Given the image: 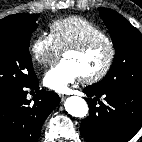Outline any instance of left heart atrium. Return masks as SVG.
<instances>
[{
    "mask_svg": "<svg viewBox=\"0 0 142 142\" xmlns=\"http://www.w3.org/2000/svg\"><path fill=\"white\" fill-rule=\"evenodd\" d=\"M80 78L81 74L75 64L70 60L63 59L46 72L44 84L50 89L62 93Z\"/></svg>",
    "mask_w": 142,
    "mask_h": 142,
    "instance_id": "39dd6f15",
    "label": "left heart atrium"
}]
</instances>
